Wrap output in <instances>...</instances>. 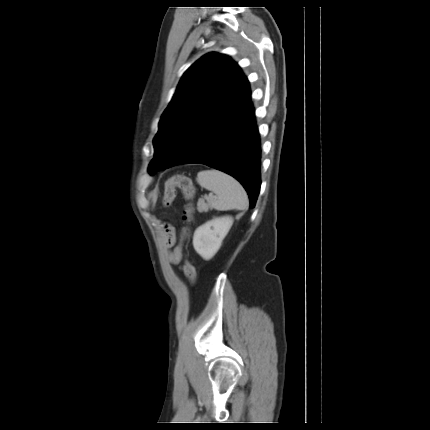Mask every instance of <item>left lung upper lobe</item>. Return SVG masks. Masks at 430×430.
<instances>
[{
  "mask_svg": "<svg viewBox=\"0 0 430 430\" xmlns=\"http://www.w3.org/2000/svg\"><path fill=\"white\" fill-rule=\"evenodd\" d=\"M251 89L241 68L228 56L209 53L183 75L159 122L155 154L148 171L153 175L187 145L201 121L210 114L230 119L250 103Z\"/></svg>",
  "mask_w": 430,
  "mask_h": 430,
  "instance_id": "5c2ea615",
  "label": "left lung upper lobe"
}]
</instances>
